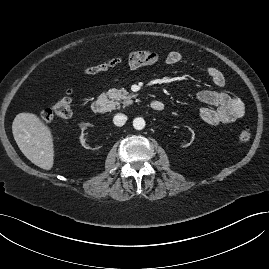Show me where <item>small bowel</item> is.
Returning a JSON list of instances; mask_svg holds the SVG:
<instances>
[{"mask_svg":"<svg viewBox=\"0 0 269 269\" xmlns=\"http://www.w3.org/2000/svg\"><path fill=\"white\" fill-rule=\"evenodd\" d=\"M161 56L156 51L146 49L130 52L125 58L114 57L99 64L84 68L81 72L85 75H96L108 72L110 69L126 64L130 69H139L158 63ZM168 65H176L181 62L182 56L177 51H171L166 55ZM211 81L218 87L225 85L224 74L215 67L206 69ZM199 102L205 104L200 110V119L209 125H227L241 119L246 111L245 103L237 97L222 91L202 90L196 94Z\"/></svg>","mask_w":269,"mask_h":269,"instance_id":"obj_1","label":"small bowel"}]
</instances>
